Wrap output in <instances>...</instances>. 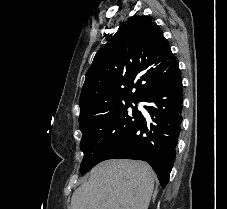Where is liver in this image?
<instances>
[{
  "instance_id": "obj_1",
  "label": "liver",
  "mask_w": 227,
  "mask_h": 209,
  "mask_svg": "<svg viewBox=\"0 0 227 209\" xmlns=\"http://www.w3.org/2000/svg\"><path fill=\"white\" fill-rule=\"evenodd\" d=\"M153 189L147 163L111 159L96 165L89 181L76 189L71 209H148Z\"/></svg>"
}]
</instances>
